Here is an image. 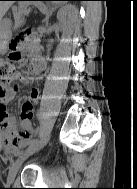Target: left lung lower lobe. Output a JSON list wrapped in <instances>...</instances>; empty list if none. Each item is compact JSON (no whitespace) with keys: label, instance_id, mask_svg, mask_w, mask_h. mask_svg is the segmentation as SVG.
Masks as SVG:
<instances>
[{"label":"left lung lower lobe","instance_id":"0a47b994","mask_svg":"<svg viewBox=\"0 0 137 189\" xmlns=\"http://www.w3.org/2000/svg\"><path fill=\"white\" fill-rule=\"evenodd\" d=\"M67 1H80V0H67Z\"/></svg>","mask_w":137,"mask_h":189}]
</instances>
